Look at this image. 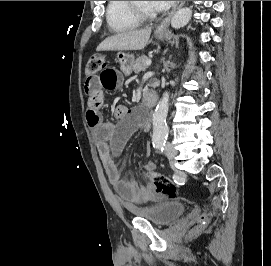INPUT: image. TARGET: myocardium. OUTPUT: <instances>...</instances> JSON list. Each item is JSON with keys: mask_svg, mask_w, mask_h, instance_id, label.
Returning a JSON list of instances; mask_svg holds the SVG:
<instances>
[{"mask_svg": "<svg viewBox=\"0 0 271 266\" xmlns=\"http://www.w3.org/2000/svg\"><path fill=\"white\" fill-rule=\"evenodd\" d=\"M137 1H127L130 13L140 22H149L156 18V13H147L137 7Z\"/></svg>", "mask_w": 271, "mask_h": 266, "instance_id": "f54148a6", "label": "myocardium"}]
</instances>
